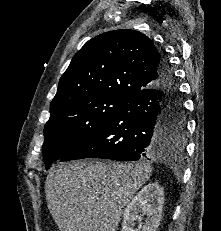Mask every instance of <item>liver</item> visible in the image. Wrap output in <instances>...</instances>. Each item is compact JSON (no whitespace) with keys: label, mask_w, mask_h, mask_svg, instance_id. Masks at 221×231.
I'll use <instances>...</instances> for the list:
<instances>
[{"label":"liver","mask_w":221,"mask_h":231,"mask_svg":"<svg viewBox=\"0 0 221 231\" xmlns=\"http://www.w3.org/2000/svg\"><path fill=\"white\" fill-rule=\"evenodd\" d=\"M151 173L149 163L56 164L45 181L47 206L60 231H116L125 206Z\"/></svg>","instance_id":"6515ba94"}]
</instances>
